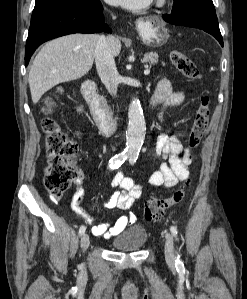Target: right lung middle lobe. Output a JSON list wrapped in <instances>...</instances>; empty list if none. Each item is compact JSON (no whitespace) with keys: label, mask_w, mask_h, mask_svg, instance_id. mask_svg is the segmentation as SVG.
I'll return each mask as SVG.
<instances>
[{"label":"right lung middle lobe","mask_w":247,"mask_h":299,"mask_svg":"<svg viewBox=\"0 0 247 299\" xmlns=\"http://www.w3.org/2000/svg\"><path fill=\"white\" fill-rule=\"evenodd\" d=\"M93 0H36L31 23L60 8L91 2Z\"/></svg>","instance_id":"dd1d6c3e"}]
</instances>
